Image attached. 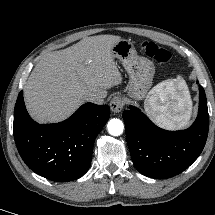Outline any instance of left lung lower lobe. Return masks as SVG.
Listing matches in <instances>:
<instances>
[{
    "label": "left lung lower lobe",
    "instance_id": "obj_1",
    "mask_svg": "<svg viewBox=\"0 0 215 215\" xmlns=\"http://www.w3.org/2000/svg\"><path fill=\"white\" fill-rule=\"evenodd\" d=\"M123 119L133 164L151 178H169L183 172L198 158L208 136L207 100L201 85L198 116L186 130H163L134 106L123 112Z\"/></svg>",
    "mask_w": 215,
    "mask_h": 215
}]
</instances>
